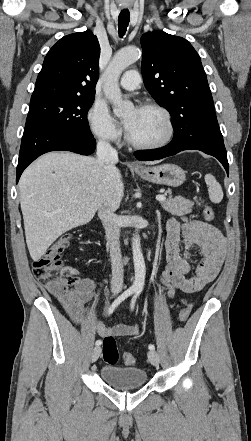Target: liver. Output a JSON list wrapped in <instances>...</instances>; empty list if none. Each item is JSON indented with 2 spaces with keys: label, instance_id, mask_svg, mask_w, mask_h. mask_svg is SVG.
<instances>
[{
  "label": "liver",
  "instance_id": "1",
  "mask_svg": "<svg viewBox=\"0 0 251 441\" xmlns=\"http://www.w3.org/2000/svg\"><path fill=\"white\" fill-rule=\"evenodd\" d=\"M115 163L102 166L94 157L49 152L23 172L20 204L26 243L34 261L59 236L89 223L104 201L114 209L119 206L124 184Z\"/></svg>",
  "mask_w": 251,
  "mask_h": 441
}]
</instances>
